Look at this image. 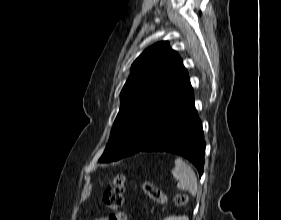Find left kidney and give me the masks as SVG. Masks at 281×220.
<instances>
[{
    "mask_svg": "<svg viewBox=\"0 0 281 220\" xmlns=\"http://www.w3.org/2000/svg\"><path fill=\"white\" fill-rule=\"evenodd\" d=\"M164 220H189L187 216H171L166 217Z\"/></svg>",
    "mask_w": 281,
    "mask_h": 220,
    "instance_id": "obj_1",
    "label": "left kidney"
}]
</instances>
